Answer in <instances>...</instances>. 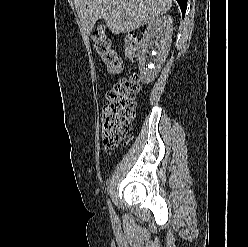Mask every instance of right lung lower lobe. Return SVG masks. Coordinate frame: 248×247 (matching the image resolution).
Listing matches in <instances>:
<instances>
[{
    "label": "right lung lower lobe",
    "mask_w": 248,
    "mask_h": 247,
    "mask_svg": "<svg viewBox=\"0 0 248 247\" xmlns=\"http://www.w3.org/2000/svg\"><path fill=\"white\" fill-rule=\"evenodd\" d=\"M177 2L181 8L182 15L185 16V11L187 8V0H177Z\"/></svg>",
    "instance_id": "obj_1"
}]
</instances>
